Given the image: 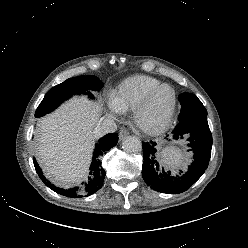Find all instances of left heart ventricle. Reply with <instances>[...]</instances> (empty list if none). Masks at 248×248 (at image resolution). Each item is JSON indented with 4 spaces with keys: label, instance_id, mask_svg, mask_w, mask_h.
I'll return each mask as SVG.
<instances>
[{
    "label": "left heart ventricle",
    "instance_id": "left-heart-ventricle-1",
    "mask_svg": "<svg viewBox=\"0 0 248 248\" xmlns=\"http://www.w3.org/2000/svg\"><path fill=\"white\" fill-rule=\"evenodd\" d=\"M172 104V93L169 89L159 91L141 116L146 125H157L165 120Z\"/></svg>",
    "mask_w": 248,
    "mask_h": 248
}]
</instances>
